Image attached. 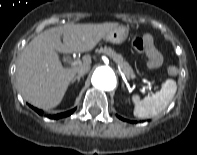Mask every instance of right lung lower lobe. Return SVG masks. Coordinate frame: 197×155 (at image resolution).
I'll return each mask as SVG.
<instances>
[{"instance_id":"98d812e1","label":"right lung lower lobe","mask_w":197,"mask_h":155,"mask_svg":"<svg viewBox=\"0 0 197 155\" xmlns=\"http://www.w3.org/2000/svg\"><path fill=\"white\" fill-rule=\"evenodd\" d=\"M33 109H34L38 114H42V111H40L39 109H37V108H33ZM73 112H74V109L71 110V111L65 112V113L57 114V115H55V116H50V118H55V119L63 118V117H66V116L71 115Z\"/></svg>"}]
</instances>
